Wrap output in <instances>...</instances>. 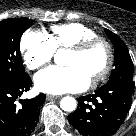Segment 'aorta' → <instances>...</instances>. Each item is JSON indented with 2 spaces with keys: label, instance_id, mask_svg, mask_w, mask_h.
<instances>
[{
  "label": "aorta",
  "instance_id": "aorta-1",
  "mask_svg": "<svg viewBox=\"0 0 136 136\" xmlns=\"http://www.w3.org/2000/svg\"><path fill=\"white\" fill-rule=\"evenodd\" d=\"M54 61L57 65L63 66L65 64V54L64 50H58L57 53L54 55ZM60 107L62 110L67 112H72L76 108V100L73 97L66 96L62 98L60 102Z\"/></svg>",
  "mask_w": 136,
  "mask_h": 136
}]
</instances>
